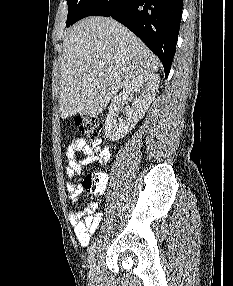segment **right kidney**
Instances as JSON below:
<instances>
[{"mask_svg": "<svg viewBox=\"0 0 233 286\" xmlns=\"http://www.w3.org/2000/svg\"><path fill=\"white\" fill-rule=\"evenodd\" d=\"M160 77L154 72H145L131 79L123 87V92L116 95L109 106L105 121V135L111 141H117L129 133L143 118L159 87ZM134 93H140L134 97ZM125 102H130L127 117L120 118L119 111Z\"/></svg>", "mask_w": 233, "mask_h": 286, "instance_id": "ca27d5eb", "label": "right kidney"}]
</instances>
